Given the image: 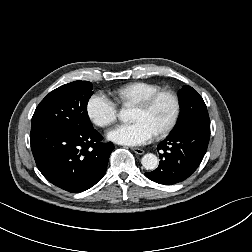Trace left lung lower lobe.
<instances>
[{
	"instance_id": "1",
	"label": "left lung lower lobe",
	"mask_w": 252,
	"mask_h": 252,
	"mask_svg": "<svg viewBox=\"0 0 252 252\" xmlns=\"http://www.w3.org/2000/svg\"><path fill=\"white\" fill-rule=\"evenodd\" d=\"M210 138V128L193 127L170 135L157 149L162 150L157 169L145 173L150 180L172 185L191 176L200 165Z\"/></svg>"
}]
</instances>
